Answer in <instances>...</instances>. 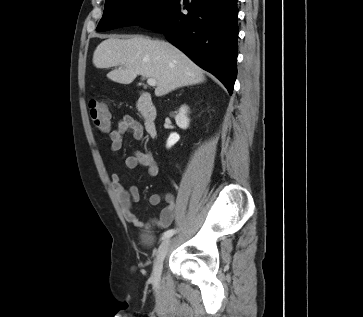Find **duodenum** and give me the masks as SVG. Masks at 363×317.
Returning a JSON list of instances; mask_svg holds the SVG:
<instances>
[{
    "instance_id": "duodenum-1",
    "label": "duodenum",
    "mask_w": 363,
    "mask_h": 317,
    "mask_svg": "<svg viewBox=\"0 0 363 317\" xmlns=\"http://www.w3.org/2000/svg\"><path fill=\"white\" fill-rule=\"evenodd\" d=\"M138 108L143 116V123L150 136H157L156 111L149 93L141 92L137 100Z\"/></svg>"
}]
</instances>
